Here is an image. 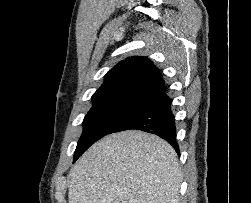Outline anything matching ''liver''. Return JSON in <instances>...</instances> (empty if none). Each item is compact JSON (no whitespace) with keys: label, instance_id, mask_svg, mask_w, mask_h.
<instances>
[{"label":"liver","instance_id":"1","mask_svg":"<svg viewBox=\"0 0 251 203\" xmlns=\"http://www.w3.org/2000/svg\"><path fill=\"white\" fill-rule=\"evenodd\" d=\"M175 150L156 135L130 130L93 144L71 172L68 203H180Z\"/></svg>","mask_w":251,"mask_h":203}]
</instances>
